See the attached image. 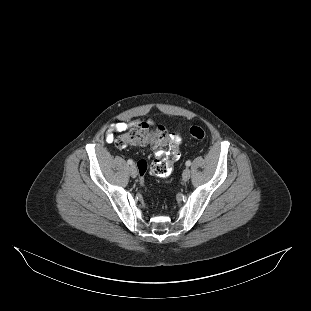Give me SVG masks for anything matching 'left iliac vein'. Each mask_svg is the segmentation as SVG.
Returning <instances> with one entry per match:
<instances>
[{
  "label": "left iliac vein",
  "mask_w": 311,
  "mask_h": 311,
  "mask_svg": "<svg viewBox=\"0 0 311 311\" xmlns=\"http://www.w3.org/2000/svg\"><path fill=\"white\" fill-rule=\"evenodd\" d=\"M190 176H191V171L190 169L186 168L182 173L183 180L188 181L190 179Z\"/></svg>",
  "instance_id": "1"
}]
</instances>
